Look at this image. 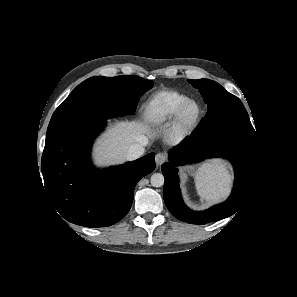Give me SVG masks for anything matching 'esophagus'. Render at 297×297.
Listing matches in <instances>:
<instances>
[{
  "label": "esophagus",
  "instance_id": "34e87169",
  "mask_svg": "<svg viewBox=\"0 0 297 297\" xmlns=\"http://www.w3.org/2000/svg\"><path fill=\"white\" fill-rule=\"evenodd\" d=\"M167 160V157L164 153H157L155 156V162L157 166L162 165Z\"/></svg>",
  "mask_w": 297,
  "mask_h": 297
}]
</instances>
